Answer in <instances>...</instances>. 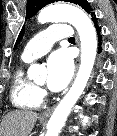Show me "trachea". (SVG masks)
<instances>
[{
	"mask_svg": "<svg viewBox=\"0 0 117 136\" xmlns=\"http://www.w3.org/2000/svg\"><path fill=\"white\" fill-rule=\"evenodd\" d=\"M69 40H70V41H74L75 38H74V37H70Z\"/></svg>",
	"mask_w": 117,
	"mask_h": 136,
	"instance_id": "3493384b",
	"label": "trachea"
}]
</instances>
